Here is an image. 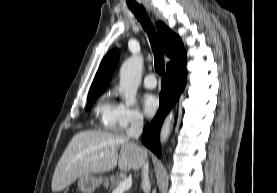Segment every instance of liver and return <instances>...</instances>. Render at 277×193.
I'll return each mask as SVG.
<instances>
[{"label": "liver", "mask_w": 277, "mask_h": 193, "mask_svg": "<svg viewBox=\"0 0 277 193\" xmlns=\"http://www.w3.org/2000/svg\"><path fill=\"white\" fill-rule=\"evenodd\" d=\"M145 157L147 152L125 135L102 131L79 132L56 165L52 191L67 188L79 177L110 171L117 163L120 170L137 171Z\"/></svg>", "instance_id": "6515ba94"}]
</instances>
